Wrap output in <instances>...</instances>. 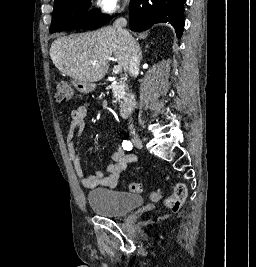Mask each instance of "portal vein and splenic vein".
Returning a JSON list of instances; mask_svg holds the SVG:
<instances>
[{
  "label": "portal vein and splenic vein",
  "instance_id": "portal-vein-and-splenic-vein-1",
  "mask_svg": "<svg viewBox=\"0 0 256 267\" xmlns=\"http://www.w3.org/2000/svg\"><path fill=\"white\" fill-rule=\"evenodd\" d=\"M122 68H120V66H114L113 68V72L114 74H118V72H121Z\"/></svg>",
  "mask_w": 256,
  "mask_h": 267
}]
</instances>
